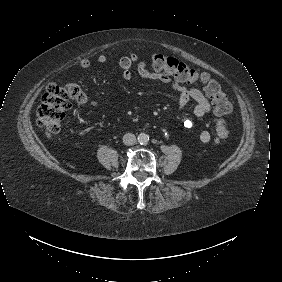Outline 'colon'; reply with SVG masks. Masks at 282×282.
<instances>
[{
	"label": "colon",
	"instance_id": "5ec220e1",
	"mask_svg": "<svg viewBox=\"0 0 282 282\" xmlns=\"http://www.w3.org/2000/svg\"><path fill=\"white\" fill-rule=\"evenodd\" d=\"M151 67L162 76L168 73L178 75L183 84H193L199 78L203 90L211 97L216 112L229 115L232 112V102L225 96L219 84L208 74L198 73L187 64L163 54H154ZM85 95L75 84L51 82L45 89L41 104L37 109L36 123L45 130L46 136L52 137L59 133L63 126L66 112L73 105H82ZM230 135V130L223 120L214 124L213 141L220 144Z\"/></svg>",
	"mask_w": 282,
	"mask_h": 282
}]
</instances>
